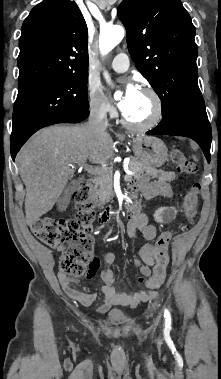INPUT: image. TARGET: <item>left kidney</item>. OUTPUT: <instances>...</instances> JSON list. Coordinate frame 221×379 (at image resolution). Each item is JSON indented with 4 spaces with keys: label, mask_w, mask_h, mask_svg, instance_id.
<instances>
[{
    "label": "left kidney",
    "mask_w": 221,
    "mask_h": 379,
    "mask_svg": "<svg viewBox=\"0 0 221 379\" xmlns=\"http://www.w3.org/2000/svg\"><path fill=\"white\" fill-rule=\"evenodd\" d=\"M176 209L174 207H161L154 213V219L159 223H167L175 219Z\"/></svg>",
    "instance_id": "1"
}]
</instances>
